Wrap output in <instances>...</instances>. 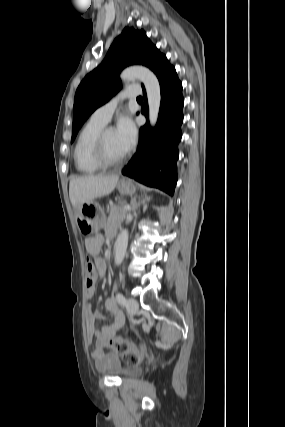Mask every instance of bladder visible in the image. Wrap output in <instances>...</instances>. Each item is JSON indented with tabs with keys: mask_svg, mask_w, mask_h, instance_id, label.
<instances>
[{
	"mask_svg": "<svg viewBox=\"0 0 285 427\" xmlns=\"http://www.w3.org/2000/svg\"><path fill=\"white\" fill-rule=\"evenodd\" d=\"M105 373L122 378H131L139 376L141 374V369L138 366L123 367L118 361L106 369Z\"/></svg>",
	"mask_w": 285,
	"mask_h": 427,
	"instance_id": "1",
	"label": "bladder"
}]
</instances>
